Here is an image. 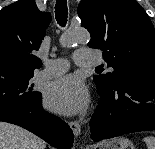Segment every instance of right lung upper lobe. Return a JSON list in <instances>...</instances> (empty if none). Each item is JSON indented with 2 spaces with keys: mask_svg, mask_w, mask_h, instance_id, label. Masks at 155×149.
<instances>
[{
  "mask_svg": "<svg viewBox=\"0 0 155 149\" xmlns=\"http://www.w3.org/2000/svg\"><path fill=\"white\" fill-rule=\"evenodd\" d=\"M51 22V15L41 12L34 0H18L0 11V68L33 73L41 61L38 50Z\"/></svg>",
  "mask_w": 155,
  "mask_h": 149,
  "instance_id": "cb5924a9",
  "label": "right lung upper lobe"
}]
</instances>
